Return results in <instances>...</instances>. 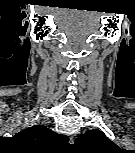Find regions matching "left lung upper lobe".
<instances>
[{
    "label": "left lung upper lobe",
    "instance_id": "left-lung-upper-lobe-1",
    "mask_svg": "<svg viewBox=\"0 0 135 153\" xmlns=\"http://www.w3.org/2000/svg\"><path fill=\"white\" fill-rule=\"evenodd\" d=\"M76 144L92 153H114L119 149L104 133L96 130L85 132L76 139Z\"/></svg>",
    "mask_w": 135,
    "mask_h": 153
}]
</instances>
